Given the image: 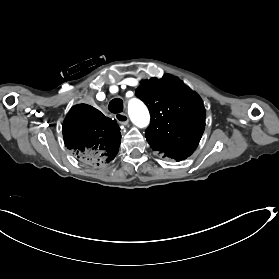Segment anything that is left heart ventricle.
<instances>
[{
  "label": "left heart ventricle",
  "instance_id": "left-heart-ventricle-1",
  "mask_svg": "<svg viewBox=\"0 0 279 279\" xmlns=\"http://www.w3.org/2000/svg\"><path fill=\"white\" fill-rule=\"evenodd\" d=\"M96 84L98 85V86H100L101 84H102V79L101 78H98V80L96 81ZM102 94H99V97L100 98H102ZM89 99V98H88Z\"/></svg>",
  "mask_w": 279,
  "mask_h": 279
}]
</instances>
